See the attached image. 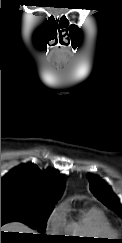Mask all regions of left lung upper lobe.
Wrapping results in <instances>:
<instances>
[{
	"mask_svg": "<svg viewBox=\"0 0 122 243\" xmlns=\"http://www.w3.org/2000/svg\"><path fill=\"white\" fill-rule=\"evenodd\" d=\"M88 178L90 182V190L95 197L122 217V209L119 199L112 192L111 188L96 175H89Z\"/></svg>",
	"mask_w": 122,
	"mask_h": 243,
	"instance_id": "left-lung-upper-lobe-1",
	"label": "left lung upper lobe"
}]
</instances>
